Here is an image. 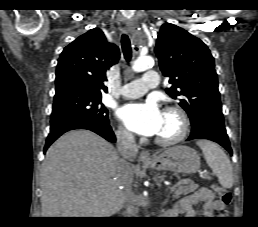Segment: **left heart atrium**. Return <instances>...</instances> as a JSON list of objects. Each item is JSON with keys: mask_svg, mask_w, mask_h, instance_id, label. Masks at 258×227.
I'll return each instance as SVG.
<instances>
[{"mask_svg": "<svg viewBox=\"0 0 258 227\" xmlns=\"http://www.w3.org/2000/svg\"><path fill=\"white\" fill-rule=\"evenodd\" d=\"M118 116L130 130L152 136L157 134L161 127L163 113L155 101L148 100L144 103L125 105Z\"/></svg>", "mask_w": 258, "mask_h": 227, "instance_id": "39dd6f15", "label": "left heart atrium"}]
</instances>
